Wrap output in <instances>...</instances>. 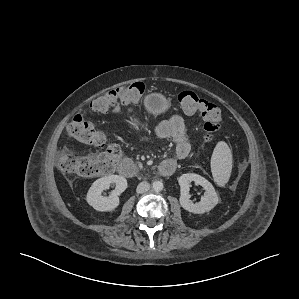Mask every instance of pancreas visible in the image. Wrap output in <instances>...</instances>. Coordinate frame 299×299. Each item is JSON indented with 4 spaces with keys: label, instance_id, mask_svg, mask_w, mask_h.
Returning a JSON list of instances; mask_svg holds the SVG:
<instances>
[{
    "label": "pancreas",
    "instance_id": "1",
    "mask_svg": "<svg viewBox=\"0 0 299 299\" xmlns=\"http://www.w3.org/2000/svg\"><path fill=\"white\" fill-rule=\"evenodd\" d=\"M138 167H139L140 169H142V168H143L142 164H138Z\"/></svg>",
    "mask_w": 299,
    "mask_h": 299
}]
</instances>
